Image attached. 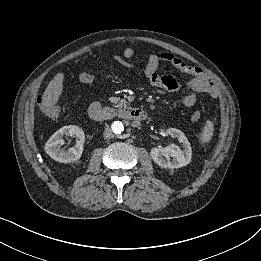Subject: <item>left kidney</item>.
Listing matches in <instances>:
<instances>
[{"mask_svg": "<svg viewBox=\"0 0 261 261\" xmlns=\"http://www.w3.org/2000/svg\"><path fill=\"white\" fill-rule=\"evenodd\" d=\"M166 132L173 138H176L183 146L181 149L175 144H169L165 148L151 149L150 156L152 160L161 168H181L191 161L192 150L187 137L182 131L176 128H169ZM170 157L173 159L170 161Z\"/></svg>", "mask_w": 261, "mask_h": 261, "instance_id": "left-kidney-1", "label": "left kidney"}]
</instances>
